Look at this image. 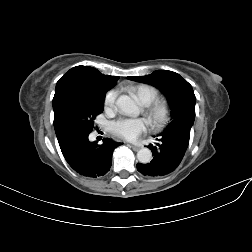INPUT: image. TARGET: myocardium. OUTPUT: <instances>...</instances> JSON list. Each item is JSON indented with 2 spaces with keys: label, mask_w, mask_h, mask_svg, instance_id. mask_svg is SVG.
Returning <instances> with one entry per match:
<instances>
[{
  "label": "myocardium",
  "mask_w": 252,
  "mask_h": 252,
  "mask_svg": "<svg viewBox=\"0 0 252 252\" xmlns=\"http://www.w3.org/2000/svg\"><path fill=\"white\" fill-rule=\"evenodd\" d=\"M144 112L150 126L155 130H161L171 118V105L166 98L158 97L145 106Z\"/></svg>",
  "instance_id": "1"
}]
</instances>
